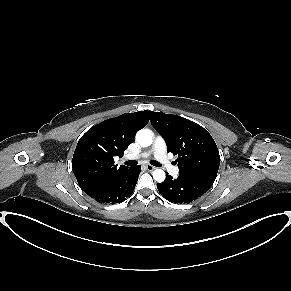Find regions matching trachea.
Segmentation results:
<instances>
[{"instance_id":"3493384b","label":"trachea","mask_w":291,"mask_h":291,"mask_svg":"<svg viewBox=\"0 0 291 291\" xmlns=\"http://www.w3.org/2000/svg\"><path fill=\"white\" fill-rule=\"evenodd\" d=\"M125 164L127 166H135V165H137V161L129 160V161H126ZM150 164L153 165V166H156V167H160L161 166V164L159 162H157L156 160H151Z\"/></svg>"}]
</instances>
